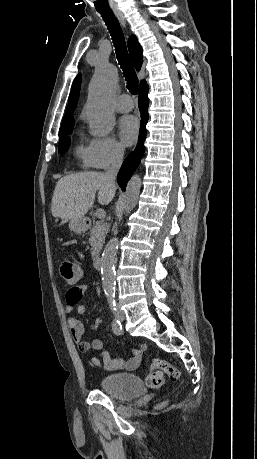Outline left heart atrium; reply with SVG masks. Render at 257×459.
Returning a JSON list of instances; mask_svg holds the SVG:
<instances>
[{
    "label": "left heart atrium",
    "mask_w": 257,
    "mask_h": 459,
    "mask_svg": "<svg viewBox=\"0 0 257 459\" xmlns=\"http://www.w3.org/2000/svg\"><path fill=\"white\" fill-rule=\"evenodd\" d=\"M119 134L125 145L133 144L139 134V121L135 116L126 115L119 121Z\"/></svg>",
    "instance_id": "1"
}]
</instances>
